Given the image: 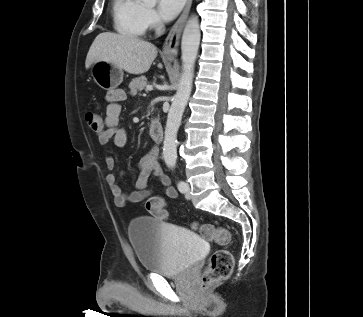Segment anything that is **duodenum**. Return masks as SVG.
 <instances>
[{
  "label": "duodenum",
  "instance_id": "obj_1",
  "mask_svg": "<svg viewBox=\"0 0 363 317\" xmlns=\"http://www.w3.org/2000/svg\"><path fill=\"white\" fill-rule=\"evenodd\" d=\"M149 131H150V136L153 139L154 143L160 145L164 138L162 123L157 119H153L150 122Z\"/></svg>",
  "mask_w": 363,
  "mask_h": 317
}]
</instances>
